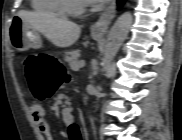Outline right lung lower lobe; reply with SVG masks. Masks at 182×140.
<instances>
[{"label":"right lung lower lobe","instance_id":"98d812e1","mask_svg":"<svg viewBox=\"0 0 182 140\" xmlns=\"http://www.w3.org/2000/svg\"><path fill=\"white\" fill-rule=\"evenodd\" d=\"M123 2H124V0H118V4H119V5H122Z\"/></svg>","mask_w":182,"mask_h":140}]
</instances>
